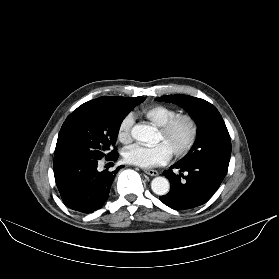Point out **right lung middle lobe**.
Masks as SVG:
<instances>
[{
    "instance_id": "obj_1",
    "label": "right lung middle lobe",
    "mask_w": 279,
    "mask_h": 279,
    "mask_svg": "<svg viewBox=\"0 0 279 279\" xmlns=\"http://www.w3.org/2000/svg\"><path fill=\"white\" fill-rule=\"evenodd\" d=\"M145 100L96 104L72 112L63 123L54 154V162L72 159L109 157L120 125L129 112Z\"/></svg>"
}]
</instances>
